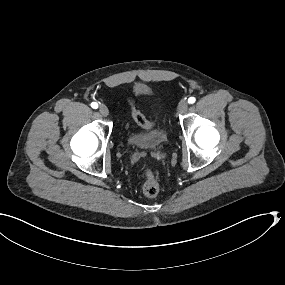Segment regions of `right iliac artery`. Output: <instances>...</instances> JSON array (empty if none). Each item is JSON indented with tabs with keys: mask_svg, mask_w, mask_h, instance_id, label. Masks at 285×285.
I'll list each match as a JSON object with an SVG mask.
<instances>
[{
	"mask_svg": "<svg viewBox=\"0 0 285 285\" xmlns=\"http://www.w3.org/2000/svg\"><path fill=\"white\" fill-rule=\"evenodd\" d=\"M91 107H92L93 109H97V108H98V104H97L96 102H92V103H91Z\"/></svg>",
	"mask_w": 285,
	"mask_h": 285,
	"instance_id": "82829eb1",
	"label": "right iliac artery"
}]
</instances>
